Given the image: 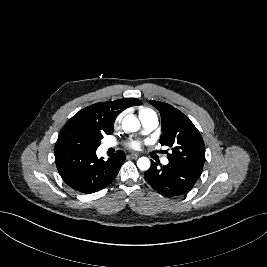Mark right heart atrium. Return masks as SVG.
Instances as JSON below:
<instances>
[{
	"instance_id": "d8ad5b80",
	"label": "right heart atrium",
	"mask_w": 267,
	"mask_h": 267,
	"mask_svg": "<svg viewBox=\"0 0 267 267\" xmlns=\"http://www.w3.org/2000/svg\"><path fill=\"white\" fill-rule=\"evenodd\" d=\"M122 117H123V113H121L120 115L117 116V118L115 120L116 125H118L121 122Z\"/></svg>"
}]
</instances>
